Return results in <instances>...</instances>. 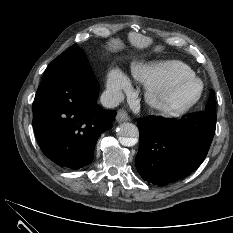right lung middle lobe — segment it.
Listing matches in <instances>:
<instances>
[{"instance_id":"dd1d6c3e","label":"right lung middle lobe","mask_w":233,"mask_h":233,"mask_svg":"<svg viewBox=\"0 0 233 233\" xmlns=\"http://www.w3.org/2000/svg\"><path fill=\"white\" fill-rule=\"evenodd\" d=\"M76 61L87 62V59H86V56L83 50L79 48L77 44L70 47L67 51H64L61 55H59L56 59H54L52 63L76 62Z\"/></svg>"}]
</instances>
